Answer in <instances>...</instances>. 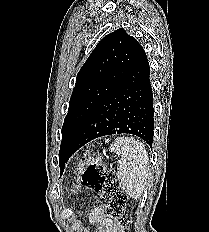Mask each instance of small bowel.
<instances>
[{
    "label": "small bowel",
    "instance_id": "c3829d8e",
    "mask_svg": "<svg viewBox=\"0 0 209 232\" xmlns=\"http://www.w3.org/2000/svg\"><path fill=\"white\" fill-rule=\"evenodd\" d=\"M90 222L102 228L101 232H121L118 222L110 219L102 207L95 208L89 215Z\"/></svg>",
    "mask_w": 209,
    "mask_h": 232
}]
</instances>
